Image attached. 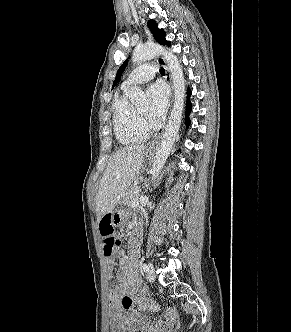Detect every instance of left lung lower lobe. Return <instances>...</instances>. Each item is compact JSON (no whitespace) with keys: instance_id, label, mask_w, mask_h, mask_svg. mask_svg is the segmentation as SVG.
<instances>
[{"instance_id":"left-lung-lower-lobe-1","label":"left lung lower lobe","mask_w":291,"mask_h":332,"mask_svg":"<svg viewBox=\"0 0 291 332\" xmlns=\"http://www.w3.org/2000/svg\"><path fill=\"white\" fill-rule=\"evenodd\" d=\"M190 95H191V90L188 88L187 110H186V116H185V123H186L187 126L190 125V119H189V114L191 112Z\"/></svg>"}]
</instances>
